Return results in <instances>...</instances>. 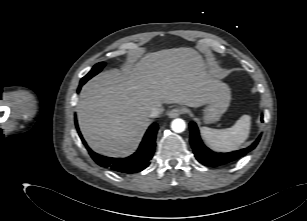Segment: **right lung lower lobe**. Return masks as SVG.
<instances>
[{
  "label": "right lung lower lobe",
  "mask_w": 307,
  "mask_h": 221,
  "mask_svg": "<svg viewBox=\"0 0 307 221\" xmlns=\"http://www.w3.org/2000/svg\"><path fill=\"white\" fill-rule=\"evenodd\" d=\"M83 84L84 83H82L81 81L80 86L78 88V92L80 91L81 86ZM76 127L78 130L77 122H76ZM157 130H158V125L156 123H153L147 130L143 138V141L140 144L139 149L133 155L127 158H110L99 155L93 152L87 146L79 130L78 134L83 144L86 146L90 156L98 165L102 167H107L111 170L120 173H135L142 171L150 164V159L153 157L155 149V139H156Z\"/></svg>",
  "instance_id": "right-lung-lower-lobe-1"
}]
</instances>
